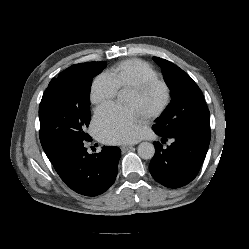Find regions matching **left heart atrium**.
Returning a JSON list of instances; mask_svg holds the SVG:
<instances>
[{
	"instance_id": "obj_1",
	"label": "left heart atrium",
	"mask_w": 249,
	"mask_h": 249,
	"mask_svg": "<svg viewBox=\"0 0 249 249\" xmlns=\"http://www.w3.org/2000/svg\"><path fill=\"white\" fill-rule=\"evenodd\" d=\"M93 127L97 138L108 144L134 142L143 135L142 117L133 108L115 104L96 110Z\"/></svg>"
}]
</instances>
